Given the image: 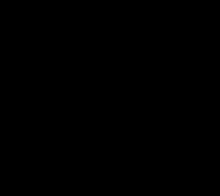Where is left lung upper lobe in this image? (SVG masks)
<instances>
[{"label":"left lung upper lobe","mask_w":220,"mask_h":196,"mask_svg":"<svg viewBox=\"0 0 220 196\" xmlns=\"http://www.w3.org/2000/svg\"><path fill=\"white\" fill-rule=\"evenodd\" d=\"M181 86L176 79H171L165 86L162 92V117L161 125L164 128H169L175 123L179 117L181 104Z\"/></svg>","instance_id":"1"}]
</instances>
